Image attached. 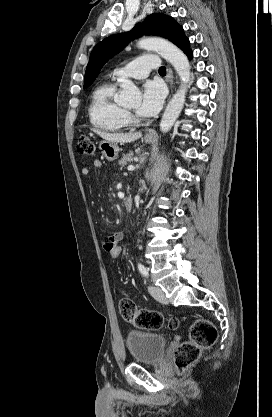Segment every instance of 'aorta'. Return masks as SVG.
Returning a JSON list of instances; mask_svg holds the SVG:
<instances>
[{
	"label": "aorta",
	"mask_w": 272,
	"mask_h": 417,
	"mask_svg": "<svg viewBox=\"0 0 272 417\" xmlns=\"http://www.w3.org/2000/svg\"><path fill=\"white\" fill-rule=\"evenodd\" d=\"M137 47L159 52L163 58L173 65L180 77L181 86L169 101L160 122L161 132L167 133L174 125L184 106L187 84L190 81V64L188 58L174 44L161 38H142L138 41ZM120 87V103L125 105H137L140 103V91L131 80H122Z\"/></svg>",
	"instance_id": "aorta-1"
}]
</instances>
